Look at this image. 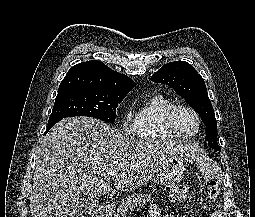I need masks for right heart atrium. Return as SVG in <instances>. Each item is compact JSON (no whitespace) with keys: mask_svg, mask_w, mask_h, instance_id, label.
<instances>
[{"mask_svg":"<svg viewBox=\"0 0 255 217\" xmlns=\"http://www.w3.org/2000/svg\"><path fill=\"white\" fill-rule=\"evenodd\" d=\"M120 129L123 134L131 135L133 134V123L127 117L121 119Z\"/></svg>","mask_w":255,"mask_h":217,"instance_id":"1","label":"right heart atrium"}]
</instances>
